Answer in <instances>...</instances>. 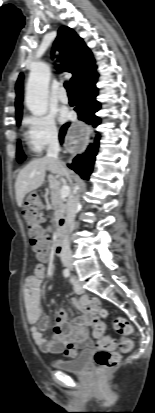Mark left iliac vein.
Here are the masks:
<instances>
[{
  "instance_id": "1",
  "label": "left iliac vein",
  "mask_w": 155,
  "mask_h": 413,
  "mask_svg": "<svg viewBox=\"0 0 155 413\" xmlns=\"http://www.w3.org/2000/svg\"><path fill=\"white\" fill-rule=\"evenodd\" d=\"M73 289H74L76 294L80 295V294L84 293L83 287L81 286V284L77 280H75V282H74Z\"/></svg>"
}]
</instances>
